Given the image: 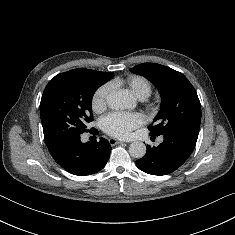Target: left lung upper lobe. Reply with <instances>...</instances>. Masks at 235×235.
Listing matches in <instances>:
<instances>
[{"mask_svg": "<svg viewBox=\"0 0 235 235\" xmlns=\"http://www.w3.org/2000/svg\"><path fill=\"white\" fill-rule=\"evenodd\" d=\"M130 71L152 82L162 97L160 111L154 124L149 126L151 135L173 131L199 133L200 101L194 87L182 73L156 63H142Z\"/></svg>", "mask_w": 235, "mask_h": 235, "instance_id": "5c2ea615", "label": "left lung upper lobe"}]
</instances>
